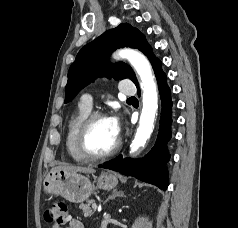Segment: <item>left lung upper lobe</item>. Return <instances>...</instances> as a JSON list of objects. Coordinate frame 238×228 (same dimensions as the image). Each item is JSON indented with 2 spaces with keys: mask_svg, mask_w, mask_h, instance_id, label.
Instances as JSON below:
<instances>
[{
  "mask_svg": "<svg viewBox=\"0 0 238 228\" xmlns=\"http://www.w3.org/2000/svg\"><path fill=\"white\" fill-rule=\"evenodd\" d=\"M120 47H131L142 51L148 58L153 54L145 36L130 24H120L85 45L77 54L68 71L65 87V103L71 101L81 89L98 76L116 80L129 78L138 84L131 67L123 62L111 64L110 54Z\"/></svg>",
  "mask_w": 238,
  "mask_h": 228,
  "instance_id": "left-lung-upper-lobe-1",
  "label": "left lung upper lobe"
}]
</instances>
